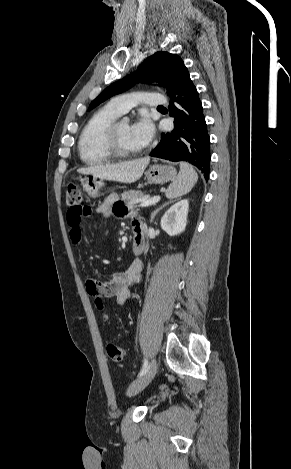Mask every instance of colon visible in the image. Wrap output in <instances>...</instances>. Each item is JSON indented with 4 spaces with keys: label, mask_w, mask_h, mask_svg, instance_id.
Listing matches in <instances>:
<instances>
[{
    "label": "colon",
    "mask_w": 291,
    "mask_h": 469,
    "mask_svg": "<svg viewBox=\"0 0 291 469\" xmlns=\"http://www.w3.org/2000/svg\"><path fill=\"white\" fill-rule=\"evenodd\" d=\"M66 201L71 209L77 210L80 215L88 216L90 214V209L88 207L82 206V193L80 188L77 185H69L66 191ZM97 306L102 310L101 299H97ZM104 320L107 319V315L103 314ZM106 352L108 357L114 362H120L125 357V350L123 347L109 343L106 347Z\"/></svg>",
    "instance_id": "obj_1"
}]
</instances>
